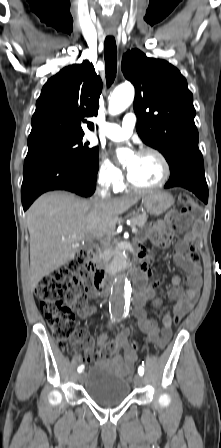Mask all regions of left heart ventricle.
I'll list each match as a JSON object with an SVG mask.
<instances>
[{
  "instance_id": "b2bd125f",
  "label": "left heart ventricle",
  "mask_w": 221,
  "mask_h": 448,
  "mask_svg": "<svg viewBox=\"0 0 221 448\" xmlns=\"http://www.w3.org/2000/svg\"><path fill=\"white\" fill-rule=\"evenodd\" d=\"M130 177L139 184L150 185L158 182L164 173L162 164L153 155H137L128 162Z\"/></svg>"
}]
</instances>
